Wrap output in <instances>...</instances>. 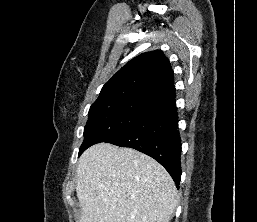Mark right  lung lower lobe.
I'll return each instance as SVG.
<instances>
[{
	"instance_id": "98d812e1",
	"label": "right lung lower lobe",
	"mask_w": 257,
	"mask_h": 222,
	"mask_svg": "<svg viewBox=\"0 0 257 222\" xmlns=\"http://www.w3.org/2000/svg\"><path fill=\"white\" fill-rule=\"evenodd\" d=\"M106 142L130 147L157 160L171 175L177 188L181 178V139L175 102L162 107L136 125Z\"/></svg>"
}]
</instances>
